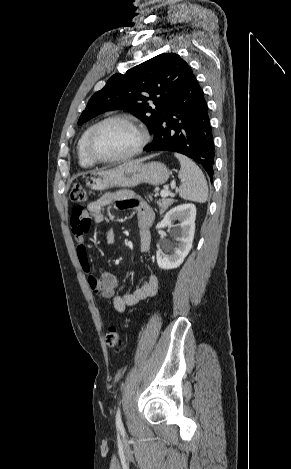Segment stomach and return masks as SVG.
Listing matches in <instances>:
<instances>
[{"mask_svg":"<svg viewBox=\"0 0 291 469\" xmlns=\"http://www.w3.org/2000/svg\"><path fill=\"white\" fill-rule=\"evenodd\" d=\"M167 166L161 162H133L116 168L94 172L86 178L92 190L103 191L113 187L130 188L141 183L154 186L164 184L169 178Z\"/></svg>","mask_w":291,"mask_h":469,"instance_id":"obj_1","label":"stomach"}]
</instances>
